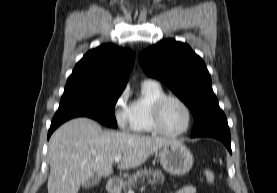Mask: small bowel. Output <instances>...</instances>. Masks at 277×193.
<instances>
[{
    "instance_id": "obj_1",
    "label": "small bowel",
    "mask_w": 277,
    "mask_h": 193,
    "mask_svg": "<svg viewBox=\"0 0 277 193\" xmlns=\"http://www.w3.org/2000/svg\"><path fill=\"white\" fill-rule=\"evenodd\" d=\"M171 193H197V190L192 185H186V186L178 189L177 191L171 192Z\"/></svg>"
}]
</instances>
